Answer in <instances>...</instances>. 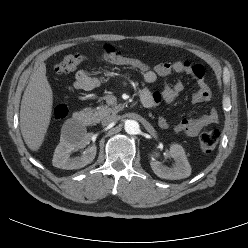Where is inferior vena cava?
I'll return each mask as SVG.
<instances>
[{
    "label": "inferior vena cava",
    "instance_id": "602c4592",
    "mask_svg": "<svg viewBox=\"0 0 248 248\" xmlns=\"http://www.w3.org/2000/svg\"><path fill=\"white\" fill-rule=\"evenodd\" d=\"M118 120H119V117L117 115H109V116L103 118L101 123L103 126H107V125H110V124H112Z\"/></svg>",
    "mask_w": 248,
    "mask_h": 248
}]
</instances>
